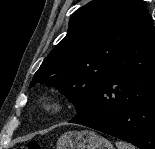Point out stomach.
Returning a JSON list of instances; mask_svg holds the SVG:
<instances>
[{
    "mask_svg": "<svg viewBox=\"0 0 155 149\" xmlns=\"http://www.w3.org/2000/svg\"><path fill=\"white\" fill-rule=\"evenodd\" d=\"M57 149H114L113 145L94 131H68L60 136Z\"/></svg>",
    "mask_w": 155,
    "mask_h": 149,
    "instance_id": "obj_1",
    "label": "stomach"
}]
</instances>
